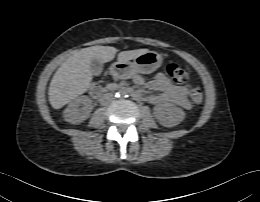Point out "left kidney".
<instances>
[{
  "mask_svg": "<svg viewBox=\"0 0 260 202\" xmlns=\"http://www.w3.org/2000/svg\"><path fill=\"white\" fill-rule=\"evenodd\" d=\"M154 116L164 127H174L185 119L183 109L172 104H158L154 107Z\"/></svg>",
  "mask_w": 260,
  "mask_h": 202,
  "instance_id": "obj_1",
  "label": "left kidney"
}]
</instances>
